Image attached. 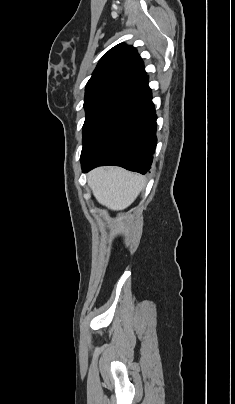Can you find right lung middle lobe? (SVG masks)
Returning <instances> with one entry per match:
<instances>
[{"instance_id":"obj_1","label":"right lung middle lobe","mask_w":235,"mask_h":404,"mask_svg":"<svg viewBox=\"0 0 235 404\" xmlns=\"http://www.w3.org/2000/svg\"><path fill=\"white\" fill-rule=\"evenodd\" d=\"M128 84L110 83L86 88L84 108L86 119L83 126V142L128 88Z\"/></svg>"}]
</instances>
